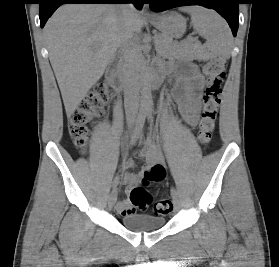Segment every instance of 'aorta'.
<instances>
[{
    "label": "aorta",
    "mask_w": 279,
    "mask_h": 267,
    "mask_svg": "<svg viewBox=\"0 0 279 267\" xmlns=\"http://www.w3.org/2000/svg\"><path fill=\"white\" fill-rule=\"evenodd\" d=\"M142 107L144 109H149L150 105H151V85H150V80L146 77L143 80V84H142Z\"/></svg>",
    "instance_id": "obj_1"
}]
</instances>
